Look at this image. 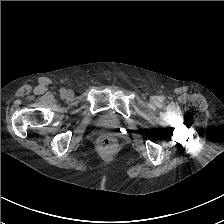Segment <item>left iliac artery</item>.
Wrapping results in <instances>:
<instances>
[{"label":"left iliac artery","mask_w":224,"mask_h":224,"mask_svg":"<svg viewBox=\"0 0 224 224\" xmlns=\"http://www.w3.org/2000/svg\"><path fill=\"white\" fill-rule=\"evenodd\" d=\"M164 99H165L164 96H160V97H159V101H160V102H163Z\"/></svg>","instance_id":"1"}]
</instances>
